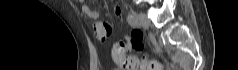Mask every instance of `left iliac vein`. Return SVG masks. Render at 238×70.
Wrapping results in <instances>:
<instances>
[{
  "label": "left iliac vein",
  "instance_id": "left-iliac-vein-1",
  "mask_svg": "<svg viewBox=\"0 0 238 70\" xmlns=\"http://www.w3.org/2000/svg\"><path fill=\"white\" fill-rule=\"evenodd\" d=\"M135 19H136V25L137 26H140V27H143V28H147L149 26V24H150V22H149V20H148V18H147L145 13H142V12L137 13L135 15Z\"/></svg>",
  "mask_w": 238,
  "mask_h": 70
}]
</instances>
